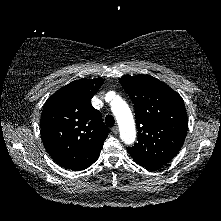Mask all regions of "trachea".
Segmentation results:
<instances>
[{
	"label": "trachea",
	"mask_w": 221,
	"mask_h": 221,
	"mask_svg": "<svg viewBox=\"0 0 221 221\" xmlns=\"http://www.w3.org/2000/svg\"><path fill=\"white\" fill-rule=\"evenodd\" d=\"M105 123L108 127H113L115 123L114 117L112 115H107L105 117Z\"/></svg>",
	"instance_id": "3493384b"
}]
</instances>
